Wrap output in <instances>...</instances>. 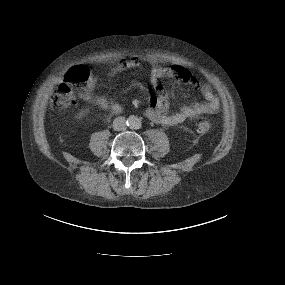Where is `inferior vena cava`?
<instances>
[{
	"mask_svg": "<svg viewBox=\"0 0 285 285\" xmlns=\"http://www.w3.org/2000/svg\"><path fill=\"white\" fill-rule=\"evenodd\" d=\"M127 128L126 119L124 117H117L113 121V129L115 131H124Z\"/></svg>",
	"mask_w": 285,
	"mask_h": 285,
	"instance_id": "1",
	"label": "inferior vena cava"
}]
</instances>
